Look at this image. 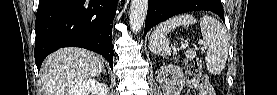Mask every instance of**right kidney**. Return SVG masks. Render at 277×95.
I'll list each match as a JSON object with an SVG mask.
<instances>
[{
  "instance_id": "right-kidney-1",
  "label": "right kidney",
  "mask_w": 277,
  "mask_h": 95,
  "mask_svg": "<svg viewBox=\"0 0 277 95\" xmlns=\"http://www.w3.org/2000/svg\"><path fill=\"white\" fill-rule=\"evenodd\" d=\"M107 87L105 84H100L95 79H87L77 83L68 93V95H89L91 92H96L99 95H107Z\"/></svg>"
}]
</instances>
